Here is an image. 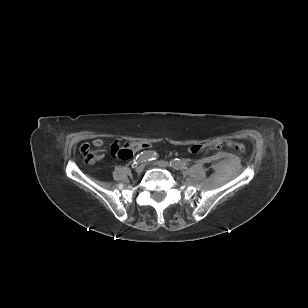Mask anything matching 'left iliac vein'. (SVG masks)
Returning <instances> with one entry per match:
<instances>
[{"instance_id": "obj_1", "label": "left iliac vein", "mask_w": 308, "mask_h": 308, "mask_svg": "<svg viewBox=\"0 0 308 308\" xmlns=\"http://www.w3.org/2000/svg\"><path fill=\"white\" fill-rule=\"evenodd\" d=\"M155 164H156L158 167H161V168H167V167H170V166H171L169 162L164 161V160L157 161V162H155Z\"/></svg>"}]
</instances>
